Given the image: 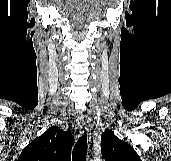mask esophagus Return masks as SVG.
<instances>
[{"instance_id": "esophagus-1", "label": "esophagus", "mask_w": 171, "mask_h": 161, "mask_svg": "<svg viewBox=\"0 0 171 161\" xmlns=\"http://www.w3.org/2000/svg\"><path fill=\"white\" fill-rule=\"evenodd\" d=\"M88 122L89 119L86 115H81L78 117V129L80 135L88 130Z\"/></svg>"}]
</instances>
